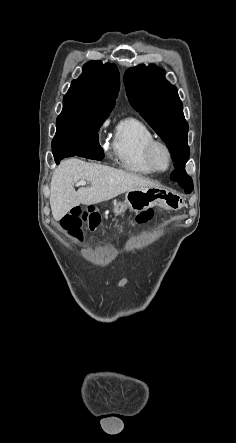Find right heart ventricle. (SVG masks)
Listing matches in <instances>:
<instances>
[{
	"mask_svg": "<svg viewBox=\"0 0 236 443\" xmlns=\"http://www.w3.org/2000/svg\"><path fill=\"white\" fill-rule=\"evenodd\" d=\"M154 139L153 132L140 120L133 117L123 119L116 127L112 143L116 164L132 173L153 174L146 161L145 149Z\"/></svg>",
	"mask_w": 236,
	"mask_h": 443,
	"instance_id": "1",
	"label": "right heart ventricle"
}]
</instances>
